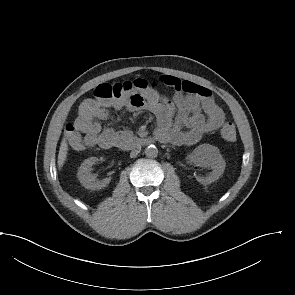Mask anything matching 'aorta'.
I'll list each match as a JSON object with an SVG mask.
<instances>
[{
  "label": "aorta",
  "mask_w": 295,
  "mask_h": 295,
  "mask_svg": "<svg viewBox=\"0 0 295 295\" xmlns=\"http://www.w3.org/2000/svg\"><path fill=\"white\" fill-rule=\"evenodd\" d=\"M145 155L149 158H155L158 155V149L154 145H149L145 149Z\"/></svg>",
  "instance_id": "aorta-1"
}]
</instances>
